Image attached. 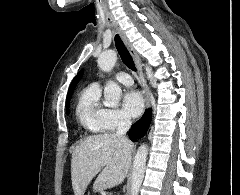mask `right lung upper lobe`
<instances>
[{
  "label": "right lung upper lobe",
  "instance_id": "obj_1",
  "mask_svg": "<svg viewBox=\"0 0 240 195\" xmlns=\"http://www.w3.org/2000/svg\"><path fill=\"white\" fill-rule=\"evenodd\" d=\"M83 75V71H80L77 76L73 79L70 87H69V90H68V94H67V102H66V105L69 103V100L72 96V93L76 87V85L78 84V82L80 81L81 77Z\"/></svg>",
  "mask_w": 240,
  "mask_h": 195
}]
</instances>
